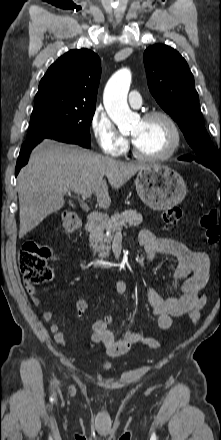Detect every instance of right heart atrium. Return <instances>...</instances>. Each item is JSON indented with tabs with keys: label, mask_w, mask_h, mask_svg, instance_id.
Listing matches in <instances>:
<instances>
[{
	"label": "right heart atrium",
	"mask_w": 221,
	"mask_h": 440,
	"mask_svg": "<svg viewBox=\"0 0 221 440\" xmlns=\"http://www.w3.org/2000/svg\"><path fill=\"white\" fill-rule=\"evenodd\" d=\"M90 129L103 153L110 156H120L126 151L128 147L126 138L102 108H97L93 112Z\"/></svg>",
	"instance_id": "obj_1"
}]
</instances>
